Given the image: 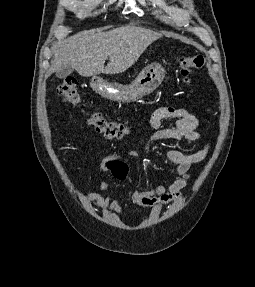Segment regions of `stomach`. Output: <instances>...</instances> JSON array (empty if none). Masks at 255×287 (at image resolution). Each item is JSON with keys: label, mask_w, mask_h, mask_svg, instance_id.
I'll list each match as a JSON object with an SVG mask.
<instances>
[{"label": "stomach", "mask_w": 255, "mask_h": 287, "mask_svg": "<svg viewBox=\"0 0 255 287\" xmlns=\"http://www.w3.org/2000/svg\"><path fill=\"white\" fill-rule=\"evenodd\" d=\"M164 72L158 70V72H141L138 78L129 84V86H123V84H117V82H105L102 78L94 76L90 82L91 88L100 94L102 98L106 100H112V102H123V104H128V102H137L141 100L144 96L151 94L155 88L160 86L163 82Z\"/></svg>", "instance_id": "obj_1"}]
</instances>
